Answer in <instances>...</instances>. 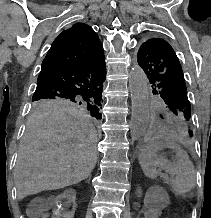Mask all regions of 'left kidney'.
<instances>
[{
	"label": "left kidney",
	"mask_w": 211,
	"mask_h": 218,
	"mask_svg": "<svg viewBox=\"0 0 211 218\" xmlns=\"http://www.w3.org/2000/svg\"><path fill=\"white\" fill-rule=\"evenodd\" d=\"M149 193V190L148 192ZM149 203L140 202V207L143 210H139V215H145V218H161L163 214V207H148Z\"/></svg>",
	"instance_id": "left-kidney-1"
}]
</instances>
